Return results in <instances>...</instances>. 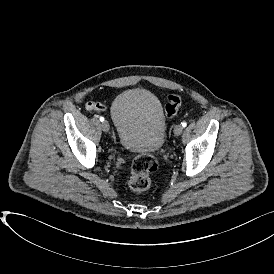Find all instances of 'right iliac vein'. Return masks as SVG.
Listing matches in <instances>:
<instances>
[{"mask_svg":"<svg viewBox=\"0 0 274 274\" xmlns=\"http://www.w3.org/2000/svg\"><path fill=\"white\" fill-rule=\"evenodd\" d=\"M101 127H102V130H103L104 132H108L109 129H110V125H109L108 121L102 122Z\"/></svg>","mask_w":274,"mask_h":274,"instance_id":"63e3f726","label":"right iliac vein"}]
</instances>
